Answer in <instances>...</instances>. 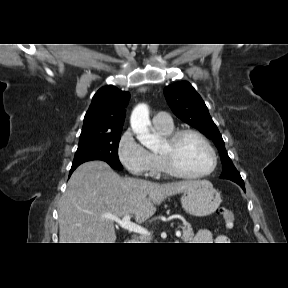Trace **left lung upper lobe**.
<instances>
[{
	"label": "left lung upper lobe",
	"mask_w": 288,
	"mask_h": 288,
	"mask_svg": "<svg viewBox=\"0 0 288 288\" xmlns=\"http://www.w3.org/2000/svg\"><path fill=\"white\" fill-rule=\"evenodd\" d=\"M164 95L178 118L213 140L219 150L223 166L220 178L244 185L239 172L227 154L225 143L208 112V108L193 86L187 81L177 82L165 87Z\"/></svg>",
	"instance_id": "left-lung-upper-lobe-1"
}]
</instances>
